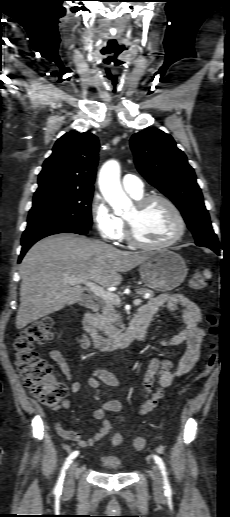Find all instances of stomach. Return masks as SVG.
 I'll return each mask as SVG.
<instances>
[{
    "mask_svg": "<svg viewBox=\"0 0 230 517\" xmlns=\"http://www.w3.org/2000/svg\"><path fill=\"white\" fill-rule=\"evenodd\" d=\"M187 271L184 259L168 249L150 252L139 269L145 285L160 292L178 287L185 280Z\"/></svg>",
    "mask_w": 230,
    "mask_h": 517,
    "instance_id": "1",
    "label": "stomach"
}]
</instances>
